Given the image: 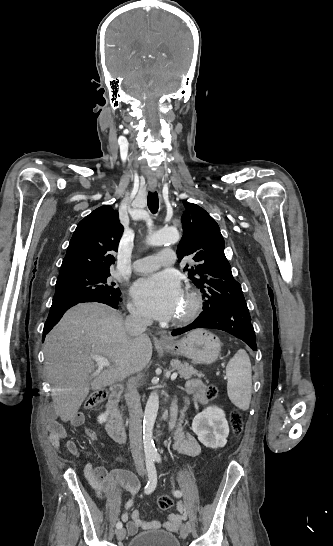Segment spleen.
Listing matches in <instances>:
<instances>
[{"mask_svg":"<svg viewBox=\"0 0 333 546\" xmlns=\"http://www.w3.org/2000/svg\"><path fill=\"white\" fill-rule=\"evenodd\" d=\"M227 393L235 406L248 410L252 394L251 362L244 349H240L226 367Z\"/></svg>","mask_w":333,"mask_h":546,"instance_id":"1","label":"spleen"}]
</instances>
